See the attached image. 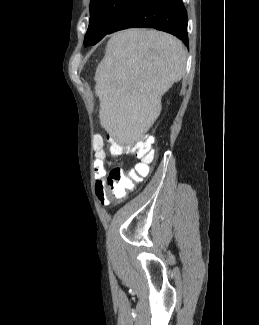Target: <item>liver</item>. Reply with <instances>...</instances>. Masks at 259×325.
Returning a JSON list of instances; mask_svg holds the SVG:
<instances>
[{"instance_id":"liver-1","label":"liver","mask_w":259,"mask_h":325,"mask_svg":"<svg viewBox=\"0 0 259 325\" xmlns=\"http://www.w3.org/2000/svg\"><path fill=\"white\" fill-rule=\"evenodd\" d=\"M186 59L183 43L168 33L112 35L94 77L102 128L123 145L142 140L160 115L162 96L185 75Z\"/></svg>"}]
</instances>
